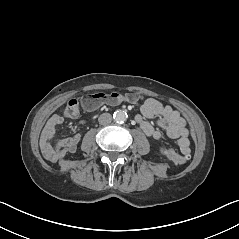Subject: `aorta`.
Masks as SVG:
<instances>
[{
    "instance_id": "762f6f07",
    "label": "aorta",
    "mask_w": 239,
    "mask_h": 239,
    "mask_svg": "<svg viewBox=\"0 0 239 239\" xmlns=\"http://www.w3.org/2000/svg\"><path fill=\"white\" fill-rule=\"evenodd\" d=\"M113 117L116 123L122 124L127 121L128 115L125 111H116Z\"/></svg>"
}]
</instances>
